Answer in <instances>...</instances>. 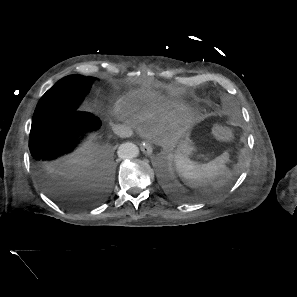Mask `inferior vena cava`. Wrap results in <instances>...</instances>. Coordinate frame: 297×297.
Listing matches in <instances>:
<instances>
[{
  "mask_svg": "<svg viewBox=\"0 0 297 297\" xmlns=\"http://www.w3.org/2000/svg\"><path fill=\"white\" fill-rule=\"evenodd\" d=\"M112 128L114 133L122 138L130 137L133 133L131 127L126 124H116Z\"/></svg>",
  "mask_w": 297,
  "mask_h": 297,
  "instance_id": "602c4592",
  "label": "inferior vena cava"
}]
</instances>
